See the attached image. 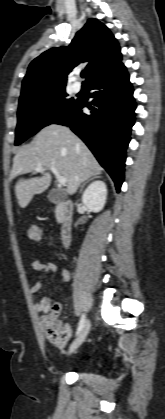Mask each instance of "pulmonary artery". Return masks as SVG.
<instances>
[{
	"mask_svg": "<svg viewBox=\"0 0 165 419\" xmlns=\"http://www.w3.org/2000/svg\"><path fill=\"white\" fill-rule=\"evenodd\" d=\"M72 90L74 91V92H79L80 90H81V85H80V83H78V82H75L74 84H73V86H72Z\"/></svg>",
	"mask_w": 165,
	"mask_h": 419,
	"instance_id": "obj_1",
	"label": "pulmonary artery"
}]
</instances>
